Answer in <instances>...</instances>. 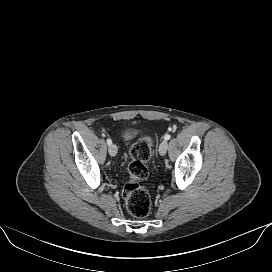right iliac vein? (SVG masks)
Segmentation results:
<instances>
[{
	"label": "right iliac vein",
	"instance_id": "63e3f726",
	"mask_svg": "<svg viewBox=\"0 0 272 272\" xmlns=\"http://www.w3.org/2000/svg\"><path fill=\"white\" fill-rule=\"evenodd\" d=\"M108 152L111 156H115L117 154V146L115 144H111L108 148Z\"/></svg>",
	"mask_w": 272,
	"mask_h": 272
}]
</instances>
